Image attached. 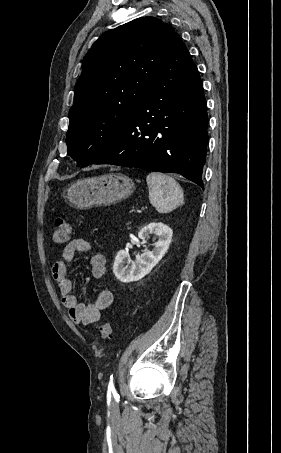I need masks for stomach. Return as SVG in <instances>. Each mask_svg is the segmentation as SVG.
<instances>
[{
  "label": "stomach",
  "instance_id": "obj_1",
  "mask_svg": "<svg viewBox=\"0 0 281 453\" xmlns=\"http://www.w3.org/2000/svg\"><path fill=\"white\" fill-rule=\"evenodd\" d=\"M133 190L135 184L132 178L121 172H110L75 180L66 188L64 196L74 208H90L120 202L128 198Z\"/></svg>",
  "mask_w": 281,
  "mask_h": 453
}]
</instances>
